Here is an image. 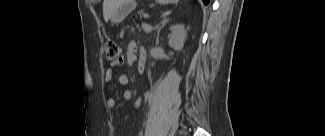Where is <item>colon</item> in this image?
Listing matches in <instances>:
<instances>
[{
  "mask_svg": "<svg viewBox=\"0 0 325 136\" xmlns=\"http://www.w3.org/2000/svg\"><path fill=\"white\" fill-rule=\"evenodd\" d=\"M106 55L111 61L122 59V48L116 42H108L106 44Z\"/></svg>",
  "mask_w": 325,
  "mask_h": 136,
  "instance_id": "obj_1",
  "label": "colon"
}]
</instances>
